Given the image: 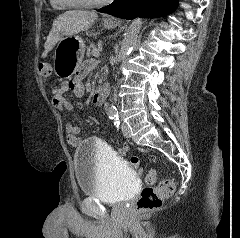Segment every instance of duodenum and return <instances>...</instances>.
I'll list each match as a JSON object with an SVG mask.
<instances>
[{
  "instance_id": "obj_1",
  "label": "duodenum",
  "mask_w": 240,
  "mask_h": 238,
  "mask_svg": "<svg viewBox=\"0 0 240 238\" xmlns=\"http://www.w3.org/2000/svg\"><path fill=\"white\" fill-rule=\"evenodd\" d=\"M109 94V85L106 82L101 83L94 93L93 102L96 105H101L104 103L105 99Z\"/></svg>"
}]
</instances>
